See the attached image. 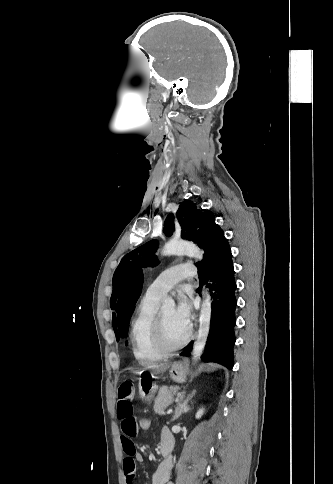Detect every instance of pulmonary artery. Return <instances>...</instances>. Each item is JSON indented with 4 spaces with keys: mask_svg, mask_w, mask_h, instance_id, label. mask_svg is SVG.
Segmentation results:
<instances>
[{
    "mask_svg": "<svg viewBox=\"0 0 333 484\" xmlns=\"http://www.w3.org/2000/svg\"><path fill=\"white\" fill-rule=\"evenodd\" d=\"M194 274L195 267L190 263H181L172 266L154 279L149 285L146 295L160 299L181 280L191 277Z\"/></svg>",
    "mask_w": 333,
    "mask_h": 484,
    "instance_id": "obj_1",
    "label": "pulmonary artery"
}]
</instances>
